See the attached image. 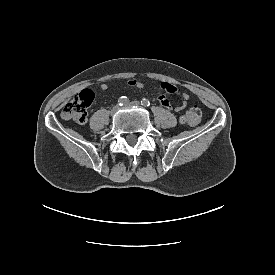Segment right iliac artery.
Listing matches in <instances>:
<instances>
[{
	"label": "right iliac artery",
	"instance_id": "1",
	"mask_svg": "<svg viewBox=\"0 0 275 275\" xmlns=\"http://www.w3.org/2000/svg\"><path fill=\"white\" fill-rule=\"evenodd\" d=\"M128 103V98L126 96H122L118 99V105L123 106Z\"/></svg>",
	"mask_w": 275,
	"mask_h": 275
}]
</instances>
